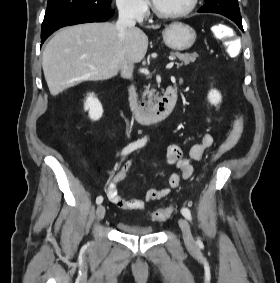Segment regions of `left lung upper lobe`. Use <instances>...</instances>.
Masks as SVG:
<instances>
[{
    "label": "left lung upper lobe",
    "mask_w": 280,
    "mask_h": 283,
    "mask_svg": "<svg viewBox=\"0 0 280 283\" xmlns=\"http://www.w3.org/2000/svg\"><path fill=\"white\" fill-rule=\"evenodd\" d=\"M199 12L218 13L228 18L241 19L237 0H205Z\"/></svg>",
    "instance_id": "1"
}]
</instances>
